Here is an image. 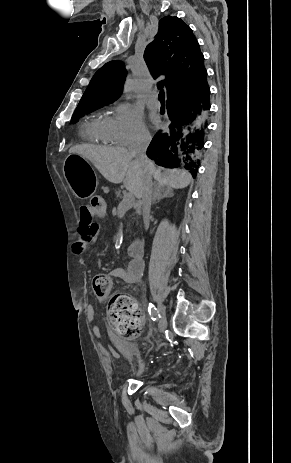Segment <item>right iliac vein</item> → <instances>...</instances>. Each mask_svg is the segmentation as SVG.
Segmentation results:
<instances>
[{"label":"right iliac vein","mask_w":291,"mask_h":463,"mask_svg":"<svg viewBox=\"0 0 291 463\" xmlns=\"http://www.w3.org/2000/svg\"><path fill=\"white\" fill-rule=\"evenodd\" d=\"M157 306H158V310L161 314V320H160V323H161V327L162 329L165 328V325H166V313H165V309L163 307V305L161 303H157Z\"/></svg>","instance_id":"1"}]
</instances>
